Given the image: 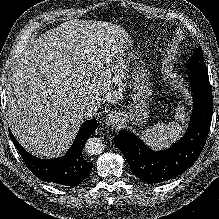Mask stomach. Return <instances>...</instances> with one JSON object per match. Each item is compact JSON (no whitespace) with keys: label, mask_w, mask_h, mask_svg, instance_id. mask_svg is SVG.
<instances>
[{"label":"stomach","mask_w":219,"mask_h":219,"mask_svg":"<svg viewBox=\"0 0 219 219\" xmlns=\"http://www.w3.org/2000/svg\"><path fill=\"white\" fill-rule=\"evenodd\" d=\"M123 61L130 68L132 90V103L128 110L119 112V122L122 125H132L135 127H143L149 118V103L151 101L152 89L149 84L150 72L145 67V62L138 52L124 47L122 49Z\"/></svg>","instance_id":"obj_1"}]
</instances>
